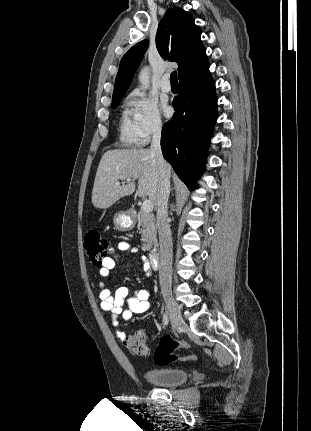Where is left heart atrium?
Masks as SVG:
<instances>
[{
	"label": "left heart atrium",
	"mask_w": 311,
	"mask_h": 431,
	"mask_svg": "<svg viewBox=\"0 0 311 431\" xmlns=\"http://www.w3.org/2000/svg\"><path fill=\"white\" fill-rule=\"evenodd\" d=\"M163 110L166 116L171 114V107L168 105V103L163 104Z\"/></svg>",
	"instance_id": "left-heart-atrium-1"
}]
</instances>
